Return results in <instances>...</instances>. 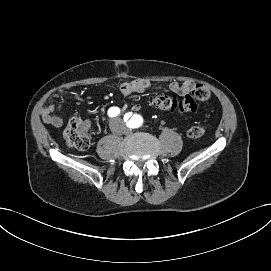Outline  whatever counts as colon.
<instances>
[{
    "instance_id": "1",
    "label": "colon",
    "mask_w": 271,
    "mask_h": 271,
    "mask_svg": "<svg viewBox=\"0 0 271 271\" xmlns=\"http://www.w3.org/2000/svg\"><path fill=\"white\" fill-rule=\"evenodd\" d=\"M210 98V90L198 84L192 93L180 99L166 94H159L151 98L150 104L160 110L194 112L197 110L200 101H207ZM204 133V127L193 126L188 130L187 135L189 138L198 139ZM64 138L67 146L77 150H86L91 144L87 124L79 118H73L69 121L64 131Z\"/></svg>"
}]
</instances>
